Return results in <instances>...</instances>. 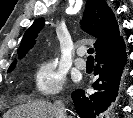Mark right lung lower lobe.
Here are the masks:
<instances>
[{
  "label": "right lung lower lobe",
  "mask_w": 133,
  "mask_h": 118,
  "mask_svg": "<svg viewBox=\"0 0 133 118\" xmlns=\"http://www.w3.org/2000/svg\"><path fill=\"white\" fill-rule=\"evenodd\" d=\"M94 94L86 96L83 90L72 93V99L81 118H95L109 108L118 95L121 76L126 65V51L123 38L103 48L96 54Z\"/></svg>",
  "instance_id": "98d812e1"
}]
</instances>
